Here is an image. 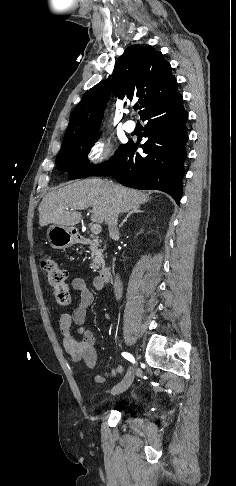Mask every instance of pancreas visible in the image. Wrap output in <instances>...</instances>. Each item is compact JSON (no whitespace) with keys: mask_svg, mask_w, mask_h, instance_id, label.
<instances>
[{"mask_svg":"<svg viewBox=\"0 0 236 486\" xmlns=\"http://www.w3.org/2000/svg\"><path fill=\"white\" fill-rule=\"evenodd\" d=\"M91 259V268L93 271H96L100 267H104V257L101 250H92Z\"/></svg>","mask_w":236,"mask_h":486,"instance_id":"pancreas-1","label":"pancreas"}]
</instances>
